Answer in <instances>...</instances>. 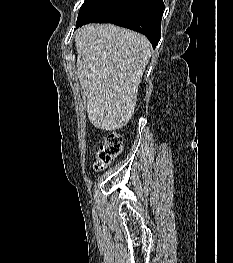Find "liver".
Here are the masks:
<instances>
[{"instance_id":"6515ba94","label":"liver","mask_w":233,"mask_h":263,"mask_svg":"<svg viewBox=\"0 0 233 263\" xmlns=\"http://www.w3.org/2000/svg\"><path fill=\"white\" fill-rule=\"evenodd\" d=\"M75 46L89 121L106 131L124 127L134 113L151 57L149 40L113 24H90L78 29Z\"/></svg>"}]
</instances>
